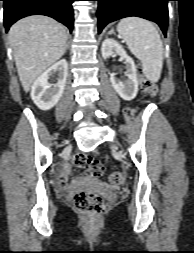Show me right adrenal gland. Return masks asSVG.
<instances>
[{
  "instance_id": "2a0ac1e0",
  "label": "right adrenal gland",
  "mask_w": 194,
  "mask_h": 253,
  "mask_svg": "<svg viewBox=\"0 0 194 253\" xmlns=\"http://www.w3.org/2000/svg\"><path fill=\"white\" fill-rule=\"evenodd\" d=\"M69 42H67V45H66V50L69 49Z\"/></svg>"
}]
</instances>
